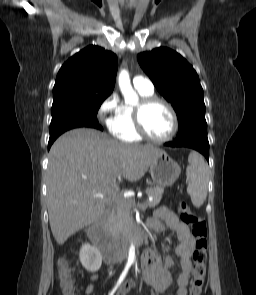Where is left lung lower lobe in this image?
Returning <instances> with one entry per match:
<instances>
[{
	"instance_id": "0a47b994",
	"label": "left lung lower lobe",
	"mask_w": 256,
	"mask_h": 295,
	"mask_svg": "<svg viewBox=\"0 0 256 295\" xmlns=\"http://www.w3.org/2000/svg\"><path fill=\"white\" fill-rule=\"evenodd\" d=\"M166 146L170 147H189L192 148L205 156L209 161V142L207 136H190L182 139H176L173 142L165 143Z\"/></svg>"
}]
</instances>
